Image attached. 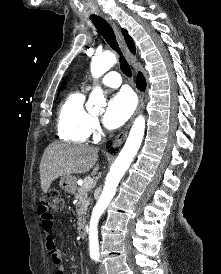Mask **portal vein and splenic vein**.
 <instances>
[{
	"instance_id": "18ae733b",
	"label": "portal vein and splenic vein",
	"mask_w": 221,
	"mask_h": 274,
	"mask_svg": "<svg viewBox=\"0 0 221 274\" xmlns=\"http://www.w3.org/2000/svg\"><path fill=\"white\" fill-rule=\"evenodd\" d=\"M84 182H85L84 184H85L86 188H91L93 186V179H91V178L85 179Z\"/></svg>"
}]
</instances>
